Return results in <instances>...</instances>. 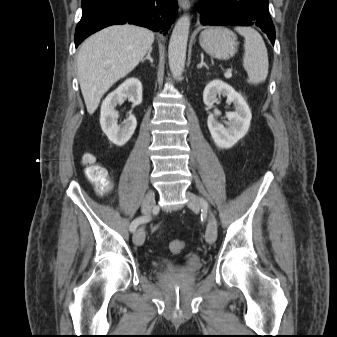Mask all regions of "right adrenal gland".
Instances as JSON below:
<instances>
[{
  "instance_id": "1",
  "label": "right adrenal gland",
  "mask_w": 337,
  "mask_h": 337,
  "mask_svg": "<svg viewBox=\"0 0 337 337\" xmlns=\"http://www.w3.org/2000/svg\"><path fill=\"white\" fill-rule=\"evenodd\" d=\"M151 52H152V48L149 49L147 56L143 58L141 62H144L146 59H148L151 62V64H153V59L151 58Z\"/></svg>"
}]
</instances>
